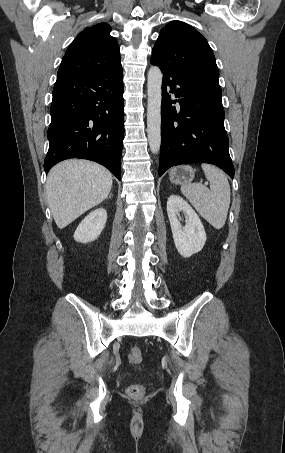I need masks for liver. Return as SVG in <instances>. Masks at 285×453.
<instances>
[{"label": "liver", "instance_id": "obj_1", "mask_svg": "<svg viewBox=\"0 0 285 453\" xmlns=\"http://www.w3.org/2000/svg\"><path fill=\"white\" fill-rule=\"evenodd\" d=\"M111 188L112 175L99 164L73 159L55 165L47 176L46 194L58 228L104 201Z\"/></svg>", "mask_w": 285, "mask_h": 453}]
</instances>
